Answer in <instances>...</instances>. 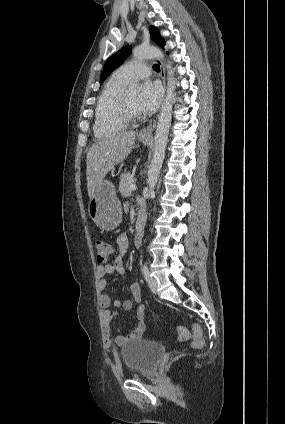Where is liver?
Instances as JSON below:
<instances>
[{
  "instance_id": "6515ba94",
  "label": "liver",
  "mask_w": 285,
  "mask_h": 424,
  "mask_svg": "<svg viewBox=\"0 0 285 424\" xmlns=\"http://www.w3.org/2000/svg\"><path fill=\"white\" fill-rule=\"evenodd\" d=\"M134 131L110 134L92 145L86 156V180L91 198L105 176L114 166L126 159L135 145Z\"/></svg>"
}]
</instances>
